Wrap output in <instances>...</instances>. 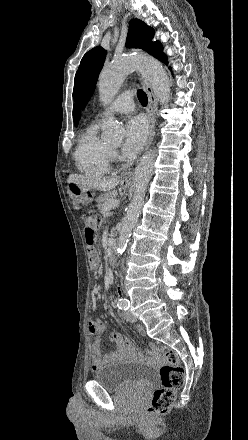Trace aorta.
I'll use <instances>...</instances> for the list:
<instances>
[{"mask_svg":"<svg viewBox=\"0 0 248 440\" xmlns=\"http://www.w3.org/2000/svg\"><path fill=\"white\" fill-rule=\"evenodd\" d=\"M138 70L150 82L152 90L161 104L168 102L170 97V83L166 71L161 64L150 57L126 56L115 59L106 66L98 81L100 99L111 102L117 95L125 78L133 71ZM103 138L110 143H120L123 139L122 128L112 118L106 121L102 133ZM156 154L147 152L135 169V186L133 198L128 206L117 242V255L125 251L131 233L136 226L144 202L148 183L151 179Z\"/></svg>","mask_w":248,"mask_h":440,"instance_id":"obj_1","label":"aorta"}]
</instances>
